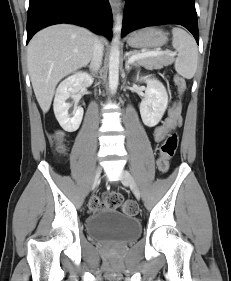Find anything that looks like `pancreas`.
<instances>
[{
    "instance_id": "cf45deb5",
    "label": "pancreas",
    "mask_w": 231,
    "mask_h": 281,
    "mask_svg": "<svg viewBox=\"0 0 231 281\" xmlns=\"http://www.w3.org/2000/svg\"><path fill=\"white\" fill-rule=\"evenodd\" d=\"M131 56L138 54L137 51H131ZM174 57L168 54L150 56L143 59H139L134 62L135 66H143L146 69H162L164 66L170 65L173 63Z\"/></svg>"
}]
</instances>
